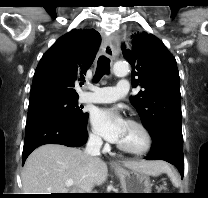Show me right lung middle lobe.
Masks as SVG:
<instances>
[{"label":"right lung middle lobe","instance_id":"dd1d6c3e","mask_svg":"<svg viewBox=\"0 0 208 198\" xmlns=\"http://www.w3.org/2000/svg\"><path fill=\"white\" fill-rule=\"evenodd\" d=\"M47 117H60L86 126L88 113L78 106V99L47 101L28 108L26 124Z\"/></svg>","mask_w":208,"mask_h":198}]
</instances>
